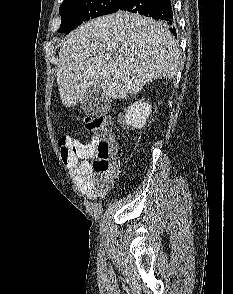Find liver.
<instances>
[{"label":"liver","instance_id":"obj_1","mask_svg":"<svg viewBox=\"0 0 233 294\" xmlns=\"http://www.w3.org/2000/svg\"><path fill=\"white\" fill-rule=\"evenodd\" d=\"M177 42L161 22L119 11L84 23L59 52L57 83L65 107L82 101L93 85L107 98H127L153 79H172Z\"/></svg>","mask_w":233,"mask_h":294}]
</instances>
